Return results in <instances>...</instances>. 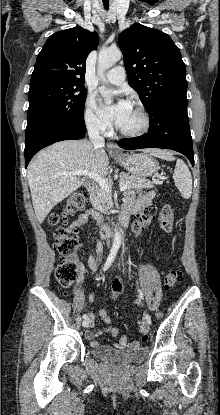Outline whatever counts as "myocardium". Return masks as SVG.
I'll return each mask as SVG.
<instances>
[{"label":"myocardium","instance_id":"obj_1","mask_svg":"<svg viewBox=\"0 0 220 415\" xmlns=\"http://www.w3.org/2000/svg\"><path fill=\"white\" fill-rule=\"evenodd\" d=\"M131 105L138 111L141 116L142 124L138 129L125 130L117 126L118 132L126 137H139L146 134L151 126V118L146 108L139 102L132 101Z\"/></svg>","mask_w":220,"mask_h":415}]
</instances>
